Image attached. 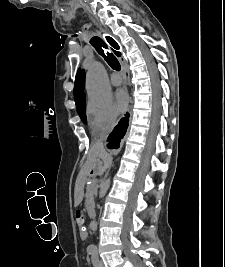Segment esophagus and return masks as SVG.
Segmentation results:
<instances>
[{
  "mask_svg": "<svg viewBox=\"0 0 225 267\" xmlns=\"http://www.w3.org/2000/svg\"><path fill=\"white\" fill-rule=\"evenodd\" d=\"M103 38H104V40L108 43V44H110L109 42H111L112 40L110 39V38H112L109 34H107V33H103ZM120 61H121V64H122V68H123V71H124V73L126 74V66H125V63H124V61L122 60V59H120Z\"/></svg>",
  "mask_w": 225,
  "mask_h": 267,
  "instance_id": "obj_1",
  "label": "esophagus"
}]
</instances>
